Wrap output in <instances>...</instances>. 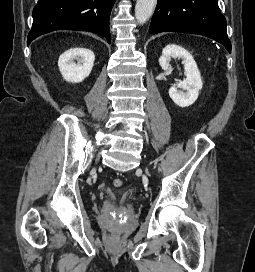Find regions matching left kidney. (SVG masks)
Returning <instances> with one entry per match:
<instances>
[{
    "mask_svg": "<svg viewBox=\"0 0 255 272\" xmlns=\"http://www.w3.org/2000/svg\"><path fill=\"white\" fill-rule=\"evenodd\" d=\"M172 58L182 59L186 79L173 85L169 89V96L176 105L188 107L197 100L199 91L202 89L201 74L192 55L186 49L175 44L167 45L159 58V64L164 71L171 68L170 61ZM177 88L182 89V91H178Z\"/></svg>",
    "mask_w": 255,
    "mask_h": 272,
    "instance_id": "1",
    "label": "left kidney"
}]
</instances>
